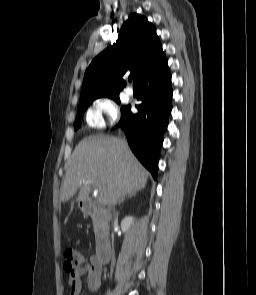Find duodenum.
Wrapping results in <instances>:
<instances>
[{"label":"duodenum","mask_w":256,"mask_h":295,"mask_svg":"<svg viewBox=\"0 0 256 295\" xmlns=\"http://www.w3.org/2000/svg\"><path fill=\"white\" fill-rule=\"evenodd\" d=\"M82 211L89 217L93 218L97 222H103V215L97 210V208L87 200L81 202ZM96 260L101 263H107L110 257V246L105 237H99L97 240V247L95 253Z\"/></svg>","instance_id":"410a0bca"}]
</instances>
